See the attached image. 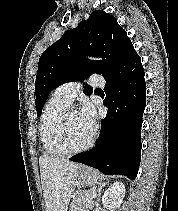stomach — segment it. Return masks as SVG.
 I'll use <instances>...</instances> for the list:
<instances>
[{"label": "stomach", "mask_w": 178, "mask_h": 211, "mask_svg": "<svg viewBox=\"0 0 178 211\" xmlns=\"http://www.w3.org/2000/svg\"><path fill=\"white\" fill-rule=\"evenodd\" d=\"M82 166H80L81 168ZM99 180V174L96 170L89 167H82L78 174V183L80 186H94Z\"/></svg>", "instance_id": "obj_1"}]
</instances>
